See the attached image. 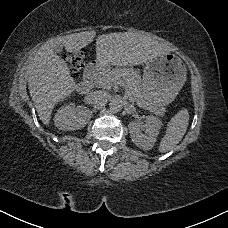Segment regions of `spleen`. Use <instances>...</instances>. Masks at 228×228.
<instances>
[{"label":"spleen","mask_w":228,"mask_h":228,"mask_svg":"<svg viewBox=\"0 0 228 228\" xmlns=\"http://www.w3.org/2000/svg\"><path fill=\"white\" fill-rule=\"evenodd\" d=\"M189 123V110L182 108L169 120L165 134L158 145L157 153H175L176 147L180 144L187 132Z\"/></svg>","instance_id":"obj_1"}]
</instances>
